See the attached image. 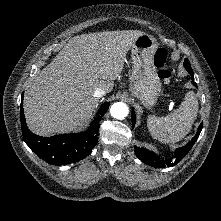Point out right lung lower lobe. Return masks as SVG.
I'll use <instances>...</instances> for the list:
<instances>
[{"label":"right lung lower lobe","mask_w":221,"mask_h":221,"mask_svg":"<svg viewBox=\"0 0 221 221\" xmlns=\"http://www.w3.org/2000/svg\"><path fill=\"white\" fill-rule=\"evenodd\" d=\"M108 107L107 102L101 105L88 130L83 133L40 137L28 129L21 103L20 120L24 141L36 155L49 164L60 166L78 162L88 156L97 144L99 122Z\"/></svg>","instance_id":"98d812e1"}]
</instances>
